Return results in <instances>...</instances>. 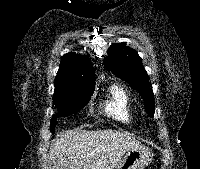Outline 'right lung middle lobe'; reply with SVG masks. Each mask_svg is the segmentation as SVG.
Returning <instances> with one entry per match:
<instances>
[{"label": "right lung middle lobe", "instance_id": "right-lung-middle-lobe-1", "mask_svg": "<svg viewBox=\"0 0 200 169\" xmlns=\"http://www.w3.org/2000/svg\"><path fill=\"white\" fill-rule=\"evenodd\" d=\"M93 92H87L81 95H77L71 98L53 100L54 104L58 109V116H69L81 108H83L87 102L90 100V97ZM56 125V115H53L50 125V130L54 133V127Z\"/></svg>", "mask_w": 200, "mask_h": 169}]
</instances>
